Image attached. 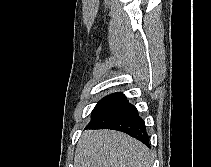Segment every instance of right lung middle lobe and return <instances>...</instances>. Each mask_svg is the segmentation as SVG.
<instances>
[{
	"mask_svg": "<svg viewBox=\"0 0 211 167\" xmlns=\"http://www.w3.org/2000/svg\"><path fill=\"white\" fill-rule=\"evenodd\" d=\"M122 95V93H114L100 100L92 111L91 121L99 117L111 104H113Z\"/></svg>",
	"mask_w": 211,
	"mask_h": 167,
	"instance_id": "dd1d6c3e",
	"label": "right lung middle lobe"
}]
</instances>
